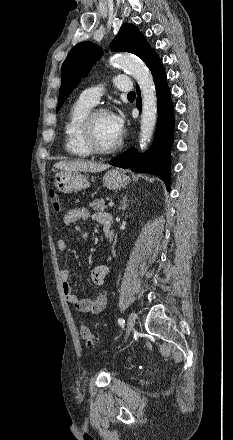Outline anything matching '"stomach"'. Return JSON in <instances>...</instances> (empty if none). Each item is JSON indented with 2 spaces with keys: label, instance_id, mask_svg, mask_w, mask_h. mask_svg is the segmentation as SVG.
I'll return each mask as SVG.
<instances>
[{
  "label": "stomach",
  "instance_id": "obj_1",
  "mask_svg": "<svg viewBox=\"0 0 233 440\" xmlns=\"http://www.w3.org/2000/svg\"><path fill=\"white\" fill-rule=\"evenodd\" d=\"M129 177L117 169L107 171L103 177V184L110 190H117L129 183ZM55 187L63 193L82 190L90 186L86 176L78 172H59L55 175Z\"/></svg>",
  "mask_w": 233,
  "mask_h": 440
}]
</instances>
